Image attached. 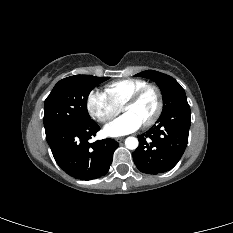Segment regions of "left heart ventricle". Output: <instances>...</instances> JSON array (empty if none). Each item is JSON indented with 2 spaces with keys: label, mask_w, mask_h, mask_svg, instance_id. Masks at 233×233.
Returning <instances> with one entry per match:
<instances>
[{
  "label": "left heart ventricle",
  "mask_w": 233,
  "mask_h": 233,
  "mask_svg": "<svg viewBox=\"0 0 233 233\" xmlns=\"http://www.w3.org/2000/svg\"><path fill=\"white\" fill-rule=\"evenodd\" d=\"M157 104L156 93L149 90L136 103L126 107L124 113L132 114L143 124L153 116L157 109Z\"/></svg>",
  "instance_id": "obj_1"
}]
</instances>
